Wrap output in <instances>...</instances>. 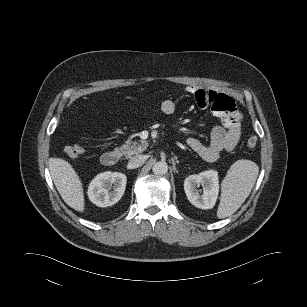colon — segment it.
Returning <instances> with one entry per match:
<instances>
[{"mask_svg":"<svg viewBox=\"0 0 307 307\" xmlns=\"http://www.w3.org/2000/svg\"><path fill=\"white\" fill-rule=\"evenodd\" d=\"M258 144V139L255 135H250L246 139V147L249 151H253ZM84 152V146L81 143L72 144L65 147V153L71 158H77Z\"/></svg>","mask_w":307,"mask_h":307,"instance_id":"1","label":"colon"}]
</instances>
